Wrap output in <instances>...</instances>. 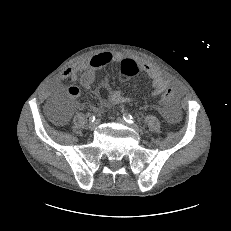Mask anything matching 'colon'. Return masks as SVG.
<instances>
[{
    "instance_id": "obj_1",
    "label": "colon",
    "mask_w": 231,
    "mask_h": 231,
    "mask_svg": "<svg viewBox=\"0 0 231 231\" xmlns=\"http://www.w3.org/2000/svg\"><path fill=\"white\" fill-rule=\"evenodd\" d=\"M119 71L125 76H134L141 72L140 66L131 59H123L119 65ZM174 94V88L171 85H166L163 88V94L161 95L162 101H169Z\"/></svg>"
}]
</instances>
